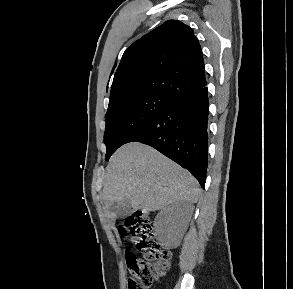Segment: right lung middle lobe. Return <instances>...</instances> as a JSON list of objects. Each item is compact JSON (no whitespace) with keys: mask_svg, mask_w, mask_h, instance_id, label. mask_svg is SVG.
I'll return each mask as SVG.
<instances>
[{"mask_svg":"<svg viewBox=\"0 0 293 289\" xmlns=\"http://www.w3.org/2000/svg\"><path fill=\"white\" fill-rule=\"evenodd\" d=\"M172 103L168 98L147 94L128 97L108 107L104 143L107 148L105 160L127 143L131 136Z\"/></svg>","mask_w":293,"mask_h":289,"instance_id":"right-lung-middle-lobe-1","label":"right lung middle lobe"}]
</instances>
